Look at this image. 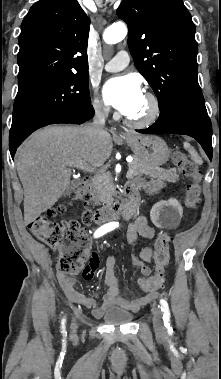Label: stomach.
Instances as JSON below:
<instances>
[{
    "mask_svg": "<svg viewBox=\"0 0 221 379\" xmlns=\"http://www.w3.org/2000/svg\"><path fill=\"white\" fill-rule=\"evenodd\" d=\"M124 139L134 152L135 158L150 166L159 167L169 160L170 150L166 142L158 136L129 133Z\"/></svg>",
    "mask_w": 221,
    "mask_h": 379,
    "instance_id": "stomach-1",
    "label": "stomach"
}]
</instances>
